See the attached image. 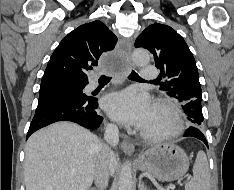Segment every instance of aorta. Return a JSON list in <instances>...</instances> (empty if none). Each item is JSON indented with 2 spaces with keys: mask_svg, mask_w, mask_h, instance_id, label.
Segmentation results:
<instances>
[{
  "mask_svg": "<svg viewBox=\"0 0 234 190\" xmlns=\"http://www.w3.org/2000/svg\"><path fill=\"white\" fill-rule=\"evenodd\" d=\"M132 58L135 64L139 66L146 65L150 60L149 53L145 49H135L132 53ZM118 189L133 190L132 167L130 162H125L122 165L118 179Z\"/></svg>",
  "mask_w": 234,
  "mask_h": 190,
  "instance_id": "aorta-1",
  "label": "aorta"
}]
</instances>
